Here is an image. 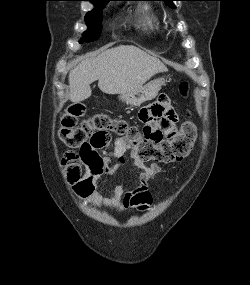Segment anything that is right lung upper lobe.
Here are the masks:
<instances>
[{"mask_svg": "<svg viewBox=\"0 0 250 285\" xmlns=\"http://www.w3.org/2000/svg\"><path fill=\"white\" fill-rule=\"evenodd\" d=\"M92 3H108L110 0H88Z\"/></svg>", "mask_w": 250, "mask_h": 285, "instance_id": "obj_1", "label": "right lung upper lobe"}]
</instances>
